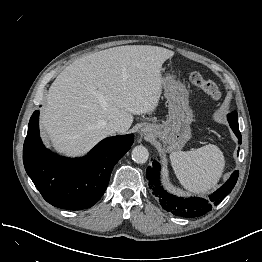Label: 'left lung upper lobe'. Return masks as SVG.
Masks as SVG:
<instances>
[{
	"label": "left lung upper lobe",
	"instance_id": "1",
	"mask_svg": "<svg viewBox=\"0 0 262 262\" xmlns=\"http://www.w3.org/2000/svg\"><path fill=\"white\" fill-rule=\"evenodd\" d=\"M228 119H234V121L238 122V114L236 111H233L231 114L228 115Z\"/></svg>",
	"mask_w": 262,
	"mask_h": 262
}]
</instances>
